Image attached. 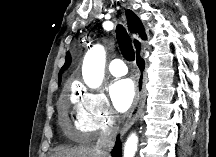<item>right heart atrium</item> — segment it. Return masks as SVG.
<instances>
[{"instance_id":"right-heart-atrium-1","label":"right heart atrium","mask_w":216,"mask_h":157,"mask_svg":"<svg viewBox=\"0 0 216 157\" xmlns=\"http://www.w3.org/2000/svg\"><path fill=\"white\" fill-rule=\"evenodd\" d=\"M117 116L105 93L81 89L75 103L74 129L82 136H97L115 129Z\"/></svg>"}]
</instances>
